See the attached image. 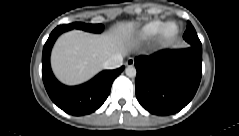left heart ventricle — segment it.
Instances as JSON below:
<instances>
[{"label": "left heart ventricle", "instance_id": "obj_1", "mask_svg": "<svg viewBox=\"0 0 239 136\" xmlns=\"http://www.w3.org/2000/svg\"><path fill=\"white\" fill-rule=\"evenodd\" d=\"M174 32H175V28H174V26H172L167 30V35L171 36V35H173Z\"/></svg>", "mask_w": 239, "mask_h": 136}]
</instances>
